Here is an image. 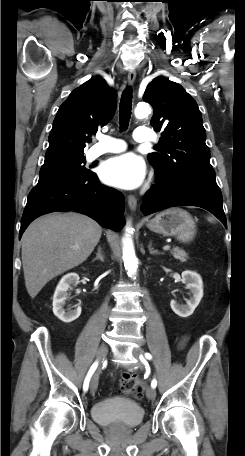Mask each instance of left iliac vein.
I'll use <instances>...</instances> for the list:
<instances>
[{"label":"left iliac vein","mask_w":245,"mask_h":456,"mask_svg":"<svg viewBox=\"0 0 245 456\" xmlns=\"http://www.w3.org/2000/svg\"><path fill=\"white\" fill-rule=\"evenodd\" d=\"M141 353H142V349L139 348V347L133 349V352H132L133 356H134L135 358H137V359H141V358H140ZM146 396H147L149 399L153 400V399L156 397V391H155V389H154L153 387H148L147 390H146Z\"/></svg>","instance_id":"4c4485c4"}]
</instances>
